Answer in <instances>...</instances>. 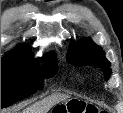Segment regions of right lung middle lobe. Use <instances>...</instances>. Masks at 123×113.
Segmentation results:
<instances>
[{"label":"right lung middle lobe","mask_w":123,"mask_h":113,"mask_svg":"<svg viewBox=\"0 0 123 113\" xmlns=\"http://www.w3.org/2000/svg\"><path fill=\"white\" fill-rule=\"evenodd\" d=\"M53 53L43 57L44 68L37 70V61L28 50H15L1 60V108L31 96L43 88L44 78L57 71Z\"/></svg>","instance_id":"1"}]
</instances>
